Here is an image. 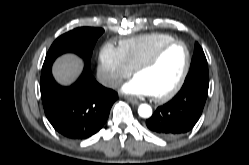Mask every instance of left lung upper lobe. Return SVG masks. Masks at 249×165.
<instances>
[{
	"mask_svg": "<svg viewBox=\"0 0 249 165\" xmlns=\"http://www.w3.org/2000/svg\"><path fill=\"white\" fill-rule=\"evenodd\" d=\"M197 76H202V77H207V78L209 77L207 60H206V57H205V54L202 48L200 47L198 43H196L195 53L192 58L190 71L185 80L193 78V77H197Z\"/></svg>",
	"mask_w": 249,
	"mask_h": 165,
	"instance_id": "left-lung-upper-lobe-1",
	"label": "left lung upper lobe"
}]
</instances>
